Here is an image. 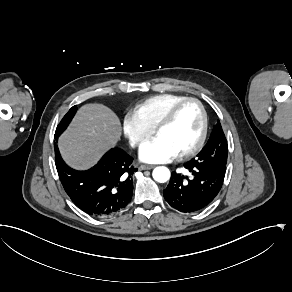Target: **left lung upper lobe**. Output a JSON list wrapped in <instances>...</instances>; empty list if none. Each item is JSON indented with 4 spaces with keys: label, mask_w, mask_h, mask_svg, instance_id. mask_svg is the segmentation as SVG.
<instances>
[{
    "label": "left lung upper lobe",
    "mask_w": 292,
    "mask_h": 292,
    "mask_svg": "<svg viewBox=\"0 0 292 292\" xmlns=\"http://www.w3.org/2000/svg\"><path fill=\"white\" fill-rule=\"evenodd\" d=\"M228 146L220 121L214 126L210 138L203 149L193 158L205 167H226Z\"/></svg>",
    "instance_id": "1"
}]
</instances>
